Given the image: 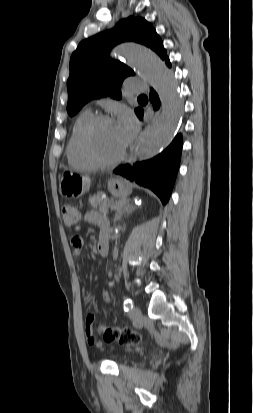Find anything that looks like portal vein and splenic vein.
I'll use <instances>...</instances> for the list:
<instances>
[{
    "mask_svg": "<svg viewBox=\"0 0 253 413\" xmlns=\"http://www.w3.org/2000/svg\"><path fill=\"white\" fill-rule=\"evenodd\" d=\"M123 206V204H116V205H114V206H110V209H115V210H118V209H120L121 207Z\"/></svg>",
    "mask_w": 253,
    "mask_h": 413,
    "instance_id": "18ae733b",
    "label": "portal vein and splenic vein"
}]
</instances>
